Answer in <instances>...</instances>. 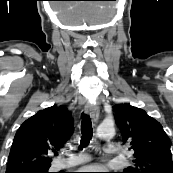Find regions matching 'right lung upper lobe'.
Returning a JSON list of instances; mask_svg holds the SVG:
<instances>
[{"mask_svg": "<svg viewBox=\"0 0 173 173\" xmlns=\"http://www.w3.org/2000/svg\"><path fill=\"white\" fill-rule=\"evenodd\" d=\"M73 134V119L64 106L38 111L18 129L6 173H33L49 169V154L59 150Z\"/></svg>", "mask_w": 173, "mask_h": 173, "instance_id": "right-lung-upper-lobe-1", "label": "right lung upper lobe"}]
</instances>
